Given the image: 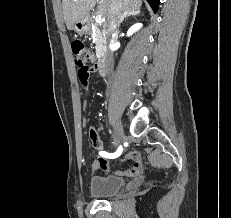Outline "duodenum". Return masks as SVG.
<instances>
[{
	"mask_svg": "<svg viewBox=\"0 0 231 218\" xmlns=\"http://www.w3.org/2000/svg\"><path fill=\"white\" fill-rule=\"evenodd\" d=\"M97 64V70L100 74L104 75L109 71V61L105 56H101Z\"/></svg>",
	"mask_w": 231,
	"mask_h": 218,
	"instance_id": "obj_1",
	"label": "duodenum"
}]
</instances>
